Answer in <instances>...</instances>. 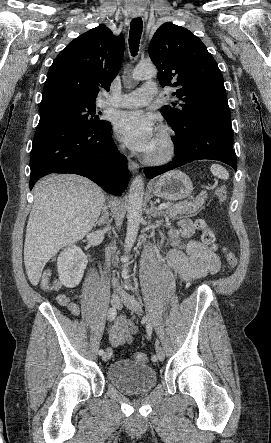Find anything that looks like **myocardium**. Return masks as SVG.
Masks as SVG:
<instances>
[{
  "label": "myocardium",
  "instance_id": "f54148a6",
  "mask_svg": "<svg viewBox=\"0 0 271 443\" xmlns=\"http://www.w3.org/2000/svg\"><path fill=\"white\" fill-rule=\"evenodd\" d=\"M157 134L161 138L163 146L156 153H149L147 161L153 164H161L170 161L177 152V143L173 130L167 126H160Z\"/></svg>",
  "mask_w": 271,
  "mask_h": 443
}]
</instances>
